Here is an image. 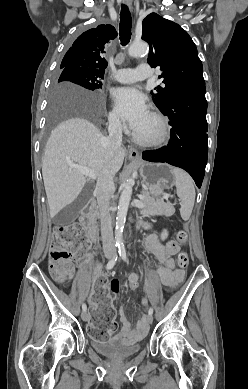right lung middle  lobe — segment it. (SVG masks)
I'll list each match as a JSON object with an SVG mask.
<instances>
[{
  "label": "right lung middle lobe",
  "instance_id": "obj_1",
  "mask_svg": "<svg viewBox=\"0 0 248 389\" xmlns=\"http://www.w3.org/2000/svg\"><path fill=\"white\" fill-rule=\"evenodd\" d=\"M60 69H62V71L56 80V83L71 82L89 90H99L102 88L101 80L104 78L103 75L72 66H60ZM67 109H70L72 112L85 114L93 119H96L100 112L99 107L79 101L67 106H62L60 104L53 105L51 108L52 117L65 113Z\"/></svg>",
  "mask_w": 248,
  "mask_h": 389
}]
</instances>
